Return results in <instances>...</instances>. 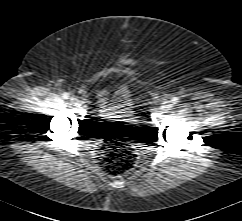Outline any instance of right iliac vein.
Returning <instances> with one entry per match:
<instances>
[{
  "label": "right iliac vein",
  "mask_w": 242,
  "mask_h": 221,
  "mask_svg": "<svg viewBox=\"0 0 242 221\" xmlns=\"http://www.w3.org/2000/svg\"><path fill=\"white\" fill-rule=\"evenodd\" d=\"M71 102H72L73 105H78L79 104V101L76 98H72Z\"/></svg>",
  "instance_id": "63e3f726"
}]
</instances>
